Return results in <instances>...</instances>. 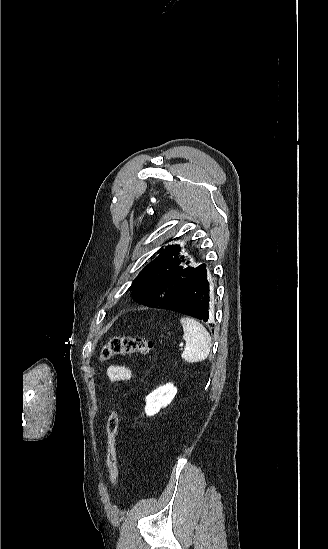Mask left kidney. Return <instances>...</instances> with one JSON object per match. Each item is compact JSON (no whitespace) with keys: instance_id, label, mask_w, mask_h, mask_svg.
Returning a JSON list of instances; mask_svg holds the SVG:
<instances>
[{"instance_id":"5707ae66","label":"left kidney","mask_w":328,"mask_h":549,"mask_svg":"<svg viewBox=\"0 0 328 549\" xmlns=\"http://www.w3.org/2000/svg\"><path fill=\"white\" fill-rule=\"evenodd\" d=\"M176 393L177 389L174 387L173 383H167V385H163V387H158V389L152 391V393L146 397V415H148V417L156 415L162 407L170 405Z\"/></svg>"}]
</instances>
